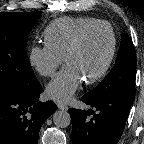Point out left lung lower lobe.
Instances as JSON below:
<instances>
[{
	"label": "left lung lower lobe",
	"instance_id": "left-lung-lower-lobe-1",
	"mask_svg": "<svg viewBox=\"0 0 144 144\" xmlns=\"http://www.w3.org/2000/svg\"><path fill=\"white\" fill-rule=\"evenodd\" d=\"M134 98L118 94L84 95L82 101L95 109H70L73 144H117ZM92 115L90 118L89 116Z\"/></svg>",
	"mask_w": 144,
	"mask_h": 144
}]
</instances>
